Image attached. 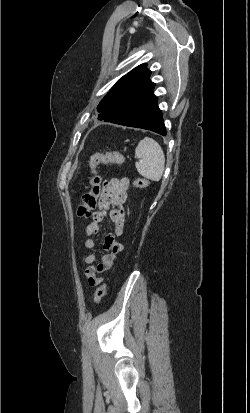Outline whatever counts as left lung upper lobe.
I'll use <instances>...</instances> for the list:
<instances>
[{
    "label": "left lung upper lobe",
    "instance_id": "left-lung-upper-lobe-1",
    "mask_svg": "<svg viewBox=\"0 0 250 413\" xmlns=\"http://www.w3.org/2000/svg\"><path fill=\"white\" fill-rule=\"evenodd\" d=\"M150 74L151 71L146 68V64H141L120 78L99 103L98 119L117 113L127 96L132 94L140 84L150 82Z\"/></svg>",
    "mask_w": 250,
    "mask_h": 413
}]
</instances>
